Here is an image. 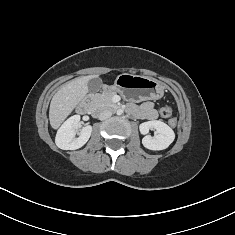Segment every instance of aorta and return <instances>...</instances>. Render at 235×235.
<instances>
[{
    "label": "aorta",
    "mask_w": 235,
    "mask_h": 235,
    "mask_svg": "<svg viewBox=\"0 0 235 235\" xmlns=\"http://www.w3.org/2000/svg\"><path fill=\"white\" fill-rule=\"evenodd\" d=\"M122 113H123V110H122V109H118V110H117V115H122Z\"/></svg>",
    "instance_id": "762f6f07"
}]
</instances>
